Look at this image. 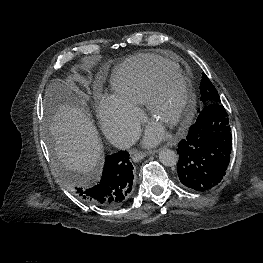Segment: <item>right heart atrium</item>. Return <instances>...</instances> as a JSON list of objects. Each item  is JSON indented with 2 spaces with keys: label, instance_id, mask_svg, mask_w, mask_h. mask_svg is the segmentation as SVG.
<instances>
[{
  "label": "right heart atrium",
  "instance_id": "right-heart-atrium-1",
  "mask_svg": "<svg viewBox=\"0 0 263 263\" xmlns=\"http://www.w3.org/2000/svg\"><path fill=\"white\" fill-rule=\"evenodd\" d=\"M98 116L106 134L122 143L135 138L142 120L139 109L114 96H105L99 101Z\"/></svg>",
  "mask_w": 263,
  "mask_h": 263
}]
</instances>
